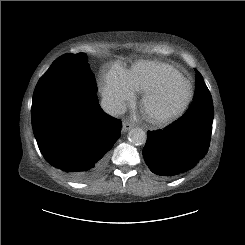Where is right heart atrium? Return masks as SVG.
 <instances>
[{
    "label": "right heart atrium",
    "instance_id": "obj_1",
    "mask_svg": "<svg viewBox=\"0 0 245 245\" xmlns=\"http://www.w3.org/2000/svg\"><path fill=\"white\" fill-rule=\"evenodd\" d=\"M101 92L104 99L116 110L122 111L128 102L134 99L127 71L120 65L114 64L105 72Z\"/></svg>",
    "mask_w": 245,
    "mask_h": 245
}]
</instances>
